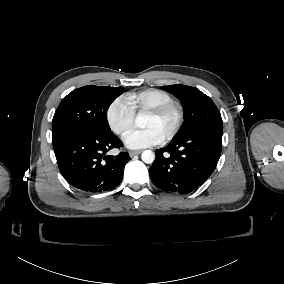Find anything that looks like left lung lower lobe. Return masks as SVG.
I'll use <instances>...</instances> for the list:
<instances>
[{
    "mask_svg": "<svg viewBox=\"0 0 284 284\" xmlns=\"http://www.w3.org/2000/svg\"><path fill=\"white\" fill-rule=\"evenodd\" d=\"M221 148L222 131L216 129L174 137L168 146L155 151L150 178L163 191L189 193L213 173Z\"/></svg>",
    "mask_w": 284,
    "mask_h": 284,
    "instance_id": "obj_1",
    "label": "left lung lower lobe"
}]
</instances>
